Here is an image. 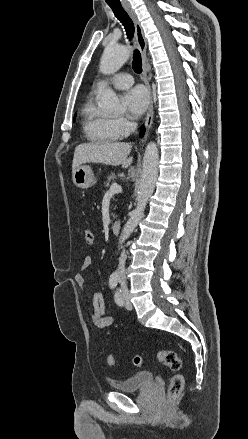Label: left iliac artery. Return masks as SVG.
<instances>
[{
    "instance_id": "obj_1",
    "label": "left iliac artery",
    "mask_w": 248,
    "mask_h": 439,
    "mask_svg": "<svg viewBox=\"0 0 248 439\" xmlns=\"http://www.w3.org/2000/svg\"><path fill=\"white\" fill-rule=\"evenodd\" d=\"M115 301H116V303L118 304V305H122V298H121V295H120V291H117L116 293H115Z\"/></svg>"
}]
</instances>
